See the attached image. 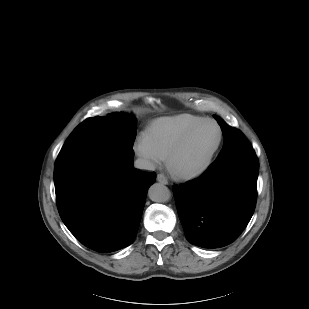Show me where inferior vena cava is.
I'll return each mask as SVG.
<instances>
[{
    "label": "inferior vena cava",
    "mask_w": 309,
    "mask_h": 309,
    "mask_svg": "<svg viewBox=\"0 0 309 309\" xmlns=\"http://www.w3.org/2000/svg\"><path fill=\"white\" fill-rule=\"evenodd\" d=\"M134 166H135V168L140 169V170H146V171H154L155 170V166L152 162H150L146 159H142V158H138L134 162Z\"/></svg>",
    "instance_id": "inferior-vena-cava-1"
}]
</instances>
